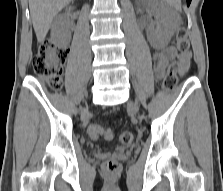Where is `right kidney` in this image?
Returning a JSON list of instances; mask_svg holds the SVG:
<instances>
[{
  "mask_svg": "<svg viewBox=\"0 0 223 191\" xmlns=\"http://www.w3.org/2000/svg\"><path fill=\"white\" fill-rule=\"evenodd\" d=\"M52 39L53 43L59 47L65 45L71 39V32L69 28V17L67 14H61L53 22L52 25Z\"/></svg>",
  "mask_w": 223,
  "mask_h": 191,
  "instance_id": "right-kidney-1",
  "label": "right kidney"
}]
</instances>
